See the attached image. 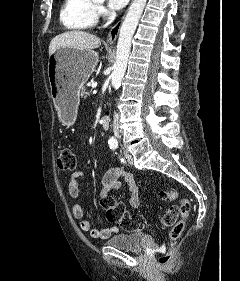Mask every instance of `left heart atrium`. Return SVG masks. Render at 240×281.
<instances>
[{
    "instance_id": "39dd6f15",
    "label": "left heart atrium",
    "mask_w": 240,
    "mask_h": 281,
    "mask_svg": "<svg viewBox=\"0 0 240 281\" xmlns=\"http://www.w3.org/2000/svg\"><path fill=\"white\" fill-rule=\"evenodd\" d=\"M129 0H108V4L112 9L123 8Z\"/></svg>"
}]
</instances>
